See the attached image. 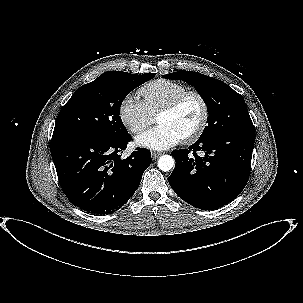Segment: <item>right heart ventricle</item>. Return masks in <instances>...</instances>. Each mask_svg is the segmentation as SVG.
I'll list each match as a JSON object with an SVG mask.
<instances>
[{
	"label": "right heart ventricle",
	"mask_w": 303,
	"mask_h": 303,
	"mask_svg": "<svg viewBox=\"0 0 303 303\" xmlns=\"http://www.w3.org/2000/svg\"><path fill=\"white\" fill-rule=\"evenodd\" d=\"M187 90V87L180 82L157 79L142 86L139 94L143 97L148 111L154 115L173 98Z\"/></svg>",
	"instance_id": "right-heart-ventricle-1"
}]
</instances>
